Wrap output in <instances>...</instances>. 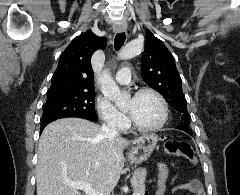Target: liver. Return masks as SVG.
Here are the masks:
<instances>
[{
	"instance_id": "obj_1",
	"label": "liver",
	"mask_w": 240,
	"mask_h": 195,
	"mask_svg": "<svg viewBox=\"0 0 240 195\" xmlns=\"http://www.w3.org/2000/svg\"><path fill=\"white\" fill-rule=\"evenodd\" d=\"M139 141L105 137L100 125L80 117L52 121L39 139L37 195H81L65 181H87L100 193H110L124 167L123 149Z\"/></svg>"
}]
</instances>
